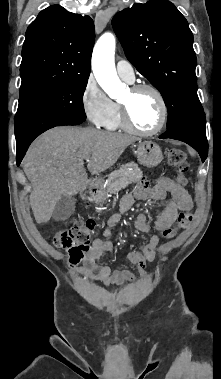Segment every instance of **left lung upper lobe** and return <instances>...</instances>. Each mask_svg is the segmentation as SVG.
<instances>
[{"instance_id":"1","label":"left lung upper lobe","mask_w":221,"mask_h":379,"mask_svg":"<svg viewBox=\"0 0 221 379\" xmlns=\"http://www.w3.org/2000/svg\"><path fill=\"white\" fill-rule=\"evenodd\" d=\"M112 25L128 60L160 91L168 108L167 131L206 135L193 34L185 17L170 1L149 0L117 13Z\"/></svg>"}]
</instances>
